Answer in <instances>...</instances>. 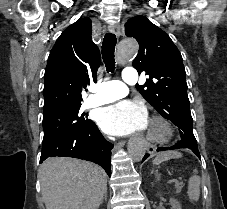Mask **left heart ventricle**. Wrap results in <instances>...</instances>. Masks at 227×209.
<instances>
[{
    "instance_id": "1",
    "label": "left heart ventricle",
    "mask_w": 227,
    "mask_h": 209,
    "mask_svg": "<svg viewBox=\"0 0 227 209\" xmlns=\"http://www.w3.org/2000/svg\"><path fill=\"white\" fill-rule=\"evenodd\" d=\"M147 133H153L155 135H161L163 133V129L160 126H154V127L148 126Z\"/></svg>"
}]
</instances>
